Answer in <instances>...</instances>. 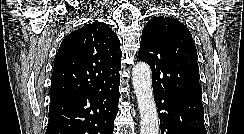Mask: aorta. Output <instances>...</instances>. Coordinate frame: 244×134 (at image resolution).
<instances>
[{
	"label": "aorta",
	"instance_id": "obj_1",
	"mask_svg": "<svg viewBox=\"0 0 244 134\" xmlns=\"http://www.w3.org/2000/svg\"><path fill=\"white\" fill-rule=\"evenodd\" d=\"M132 83L140 112V134H159L157 107L153 97L150 66L137 63L132 70Z\"/></svg>",
	"mask_w": 244,
	"mask_h": 134
}]
</instances>
